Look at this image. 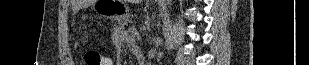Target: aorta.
Returning <instances> with one entry per match:
<instances>
[{
	"label": "aorta",
	"mask_w": 309,
	"mask_h": 65,
	"mask_svg": "<svg viewBox=\"0 0 309 65\" xmlns=\"http://www.w3.org/2000/svg\"><path fill=\"white\" fill-rule=\"evenodd\" d=\"M171 4H172V0H166L165 11H166L167 15H169V9L171 7Z\"/></svg>",
	"instance_id": "obj_1"
}]
</instances>
